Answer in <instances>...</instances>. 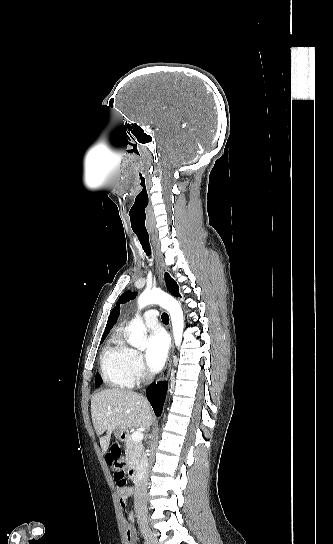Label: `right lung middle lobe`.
<instances>
[{
	"mask_svg": "<svg viewBox=\"0 0 333 544\" xmlns=\"http://www.w3.org/2000/svg\"><path fill=\"white\" fill-rule=\"evenodd\" d=\"M104 339H105V337H103V338L101 339V342H103ZM100 384H101V378H100V376L97 374V375H96V386H100Z\"/></svg>",
	"mask_w": 333,
	"mask_h": 544,
	"instance_id": "1",
	"label": "right lung middle lobe"
}]
</instances>
